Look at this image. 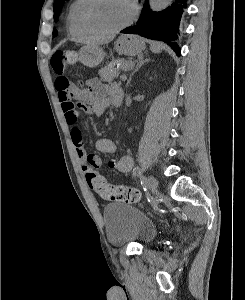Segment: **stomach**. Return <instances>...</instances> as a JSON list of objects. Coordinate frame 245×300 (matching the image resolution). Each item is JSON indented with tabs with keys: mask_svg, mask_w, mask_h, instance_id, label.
Masks as SVG:
<instances>
[{
	"mask_svg": "<svg viewBox=\"0 0 245 300\" xmlns=\"http://www.w3.org/2000/svg\"><path fill=\"white\" fill-rule=\"evenodd\" d=\"M116 51L121 55L134 56L145 49V42L138 36L122 35L115 44ZM105 53L99 46H84L79 51L78 60L87 67H96L104 59Z\"/></svg>",
	"mask_w": 245,
	"mask_h": 300,
	"instance_id": "stomach-1",
	"label": "stomach"
}]
</instances>
